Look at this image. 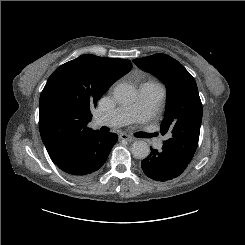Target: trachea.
Wrapping results in <instances>:
<instances>
[{
	"label": "trachea",
	"instance_id": "3493384b",
	"mask_svg": "<svg viewBox=\"0 0 245 245\" xmlns=\"http://www.w3.org/2000/svg\"><path fill=\"white\" fill-rule=\"evenodd\" d=\"M104 127H102L101 129H103ZM103 131H106L105 128L103 129Z\"/></svg>",
	"mask_w": 245,
	"mask_h": 245
}]
</instances>
